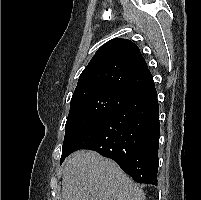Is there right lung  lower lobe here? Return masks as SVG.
Returning <instances> with one entry per match:
<instances>
[{
	"mask_svg": "<svg viewBox=\"0 0 201 200\" xmlns=\"http://www.w3.org/2000/svg\"><path fill=\"white\" fill-rule=\"evenodd\" d=\"M159 136L153 87L81 130L68 143L67 156L79 149L94 150L115 160L136 182L157 185Z\"/></svg>",
	"mask_w": 201,
	"mask_h": 200,
	"instance_id": "obj_1",
	"label": "right lung lower lobe"
}]
</instances>
